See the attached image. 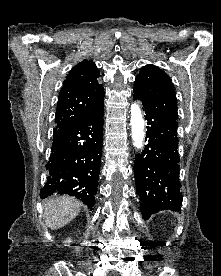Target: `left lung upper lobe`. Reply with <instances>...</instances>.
Wrapping results in <instances>:
<instances>
[{"instance_id":"5c2ea615","label":"left lung upper lobe","mask_w":221,"mask_h":276,"mask_svg":"<svg viewBox=\"0 0 221 276\" xmlns=\"http://www.w3.org/2000/svg\"><path fill=\"white\" fill-rule=\"evenodd\" d=\"M134 98L145 110L168 120L178 119L176 94L169 76L154 65L143 66L134 82Z\"/></svg>"}]
</instances>
